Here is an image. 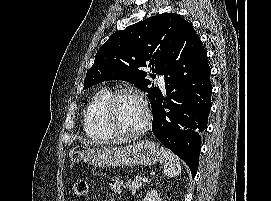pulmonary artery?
Here are the masks:
<instances>
[{
	"mask_svg": "<svg viewBox=\"0 0 271 201\" xmlns=\"http://www.w3.org/2000/svg\"><path fill=\"white\" fill-rule=\"evenodd\" d=\"M158 82H159L160 87L164 90L165 89V80H164V77L163 76H159L158 77Z\"/></svg>",
	"mask_w": 271,
	"mask_h": 201,
	"instance_id": "pulmonary-artery-1",
	"label": "pulmonary artery"
}]
</instances>
